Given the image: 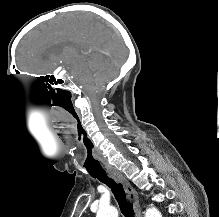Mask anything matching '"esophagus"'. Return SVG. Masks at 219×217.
<instances>
[{
	"label": "esophagus",
	"instance_id": "34e87169",
	"mask_svg": "<svg viewBox=\"0 0 219 217\" xmlns=\"http://www.w3.org/2000/svg\"><path fill=\"white\" fill-rule=\"evenodd\" d=\"M107 174L123 186L130 202L133 204L136 217H142L139 196L132 184L120 171L115 168H108Z\"/></svg>",
	"mask_w": 219,
	"mask_h": 217
}]
</instances>
